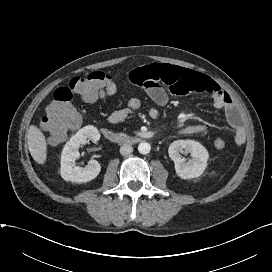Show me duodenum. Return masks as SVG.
Masks as SVG:
<instances>
[{
  "mask_svg": "<svg viewBox=\"0 0 272 272\" xmlns=\"http://www.w3.org/2000/svg\"><path fill=\"white\" fill-rule=\"evenodd\" d=\"M101 133L105 139L113 143L136 144L143 140L140 136L123 135L107 128H102Z\"/></svg>",
  "mask_w": 272,
  "mask_h": 272,
  "instance_id": "obj_1",
  "label": "duodenum"
}]
</instances>
